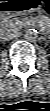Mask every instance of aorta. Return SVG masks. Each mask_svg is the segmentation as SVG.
I'll use <instances>...</instances> for the list:
<instances>
[{
  "instance_id": "1",
  "label": "aorta",
  "mask_w": 50,
  "mask_h": 111,
  "mask_svg": "<svg viewBox=\"0 0 50 111\" xmlns=\"http://www.w3.org/2000/svg\"><path fill=\"white\" fill-rule=\"evenodd\" d=\"M24 37L28 41H34L37 38V31L35 29H27Z\"/></svg>"
}]
</instances>
